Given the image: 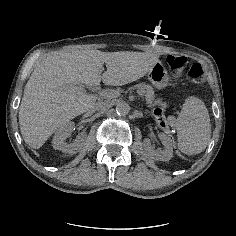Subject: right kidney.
<instances>
[{"label": "right kidney", "instance_id": "ca27d5eb", "mask_svg": "<svg viewBox=\"0 0 236 236\" xmlns=\"http://www.w3.org/2000/svg\"><path fill=\"white\" fill-rule=\"evenodd\" d=\"M74 127L73 122H68L64 127H62L53 137L52 145L56 150H60L67 154H76L80 152L85 146L86 133L81 132L77 135L75 141L71 144H66L65 139L71 134Z\"/></svg>", "mask_w": 236, "mask_h": 236}]
</instances>
